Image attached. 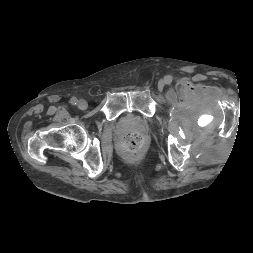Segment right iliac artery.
Instances as JSON below:
<instances>
[{"instance_id": "1", "label": "right iliac artery", "mask_w": 253, "mask_h": 253, "mask_svg": "<svg viewBox=\"0 0 253 253\" xmlns=\"http://www.w3.org/2000/svg\"><path fill=\"white\" fill-rule=\"evenodd\" d=\"M70 103H71L72 105H77V104H78L77 98L72 97V98L70 99Z\"/></svg>"}]
</instances>
